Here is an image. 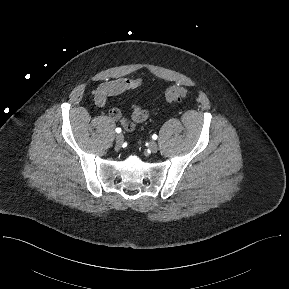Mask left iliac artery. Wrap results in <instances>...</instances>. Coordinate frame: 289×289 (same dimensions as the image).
Masks as SVG:
<instances>
[{"instance_id":"left-iliac-artery-1","label":"left iliac artery","mask_w":289,"mask_h":289,"mask_svg":"<svg viewBox=\"0 0 289 289\" xmlns=\"http://www.w3.org/2000/svg\"><path fill=\"white\" fill-rule=\"evenodd\" d=\"M152 138H153L154 140H156V139L158 138V136H157L156 134H153V135H152Z\"/></svg>"}]
</instances>
